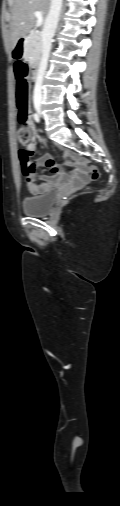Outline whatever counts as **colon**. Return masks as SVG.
<instances>
[{
	"label": "colon",
	"instance_id": "5ec220e1",
	"mask_svg": "<svg viewBox=\"0 0 120 506\" xmlns=\"http://www.w3.org/2000/svg\"><path fill=\"white\" fill-rule=\"evenodd\" d=\"M14 49L11 52V57L15 60L18 65L13 72V77L16 82V106L18 120L25 124L24 127L20 128L17 132L18 142L22 146L21 155L24 159H31L33 150L35 148V141L33 136L27 127L29 122V108H28V97H29V83L27 81V66L28 56L25 54L23 58L14 57ZM80 166L83 170L89 172L91 179L96 181L99 178V170L96 166L81 162Z\"/></svg>",
	"mask_w": 120,
	"mask_h": 506
}]
</instances>
